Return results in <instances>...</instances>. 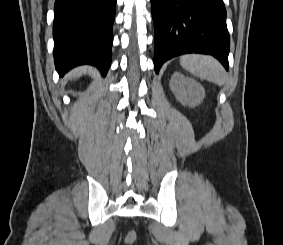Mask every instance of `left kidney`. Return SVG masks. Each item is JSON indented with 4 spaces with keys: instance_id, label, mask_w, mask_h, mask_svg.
Masks as SVG:
<instances>
[{
    "instance_id": "left-kidney-1",
    "label": "left kidney",
    "mask_w": 283,
    "mask_h": 245,
    "mask_svg": "<svg viewBox=\"0 0 283 245\" xmlns=\"http://www.w3.org/2000/svg\"><path fill=\"white\" fill-rule=\"evenodd\" d=\"M170 89L178 101L190 107L200 104L205 97V90L199 82L178 72L171 76Z\"/></svg>"
}]
</instances>
